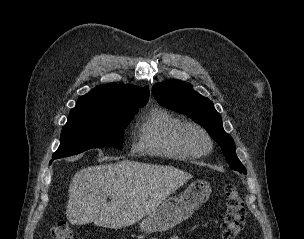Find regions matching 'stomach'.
Wrapping results in <instances>:
<instances>
[{
  "instance_id": "obj_1",
  "label": "stomach",
  "mask_w": 304,
  "mask_h": 239,
  "mask_svg": "<svg viewBox=\"0 0 304 239\" xmlns=\"http://www.w3.org/2000/svg\"><path fill=\"white\" fill-rule=\"evenodd\" d=\"M211 187L204 180L190 184L179 197L165 199L139 224L141 232L153 233L167 231L188 219L195 210L207 201Z\"/></svg>"
}]
</instances>
